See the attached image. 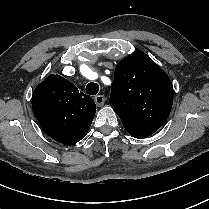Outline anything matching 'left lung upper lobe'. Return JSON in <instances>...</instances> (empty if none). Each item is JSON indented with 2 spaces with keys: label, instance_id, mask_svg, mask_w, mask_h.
I'll use <instances>...</instances> for the list:
<instances>
[{
  "label": "left lung upper lobe",
  "instance_id": "left-lung-upper-lobe-1",
  "mask_svg": "<svg viewBox=\"0 0 209 209\" xmlns=\"http://www.w3.org/2000/svg\"><path fill=\"white\" fill-rule=\"evenodd\" d=\"M109 103L131 136L146 138L167 120L173 86L150 57L135 51L117 64Z\"/></svg>",
  "mask_w": 209,
  "mask_h": 209
}]
</instances>
